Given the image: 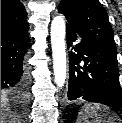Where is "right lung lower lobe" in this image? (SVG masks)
Instances as JSON below:
<instances>
[{
    "label": "right lung lower lobe",
    "instance_id": "obj_1",
    "mask_svg": "<svg viewBox=\"0 0 122 123\" xmlns=\"http://www.w3.org/2000/svg\"><path fill=\"white\" fill-rule=\"evenodd\" d=\"M27 32L28 29H1V96L11 94L18 101L24 100L29 81Z\"/></svg>",
    "mask_w": 122,
    "mask_h": 123
}]
</instances>
